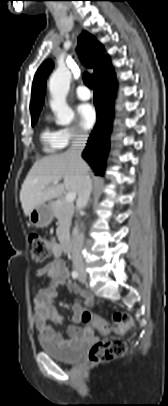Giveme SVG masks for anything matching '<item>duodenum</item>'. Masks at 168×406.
I'll return each mask as SVG.
<instances>
[{"mask_svg":"<svg viewBox=\"0 0 168 406\" xmlns=\"http://www.w3.org/2000/svg\"><path fill=\"white\" fill-rule=\"evenodd\" d=\"M61 252L69 253L71 250L70 238L67 235H63L60 238Z\"/></svg>","mask_w":168,"mask_h":406,"instance_id":"duodenum-1","label":"duodenum"}]
</instances>
